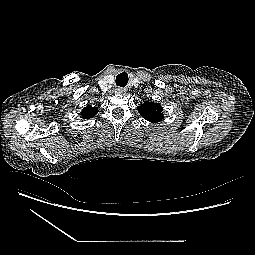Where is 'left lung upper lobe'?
<instances>
[{
    "label": "left lung upper lobe",
    "instance_id": "1",
    "mask_svg": "<svg viewBox=\"0 0 255 255\" xmlns=\"http://www.w3.org/2000/svg\"><path fill=\"white\" fill-rule=\"evenodd\" d=\"M137 110L147 121L157 123L163 119V108L159 103L146 101Z\"/></svg>",
    "mask_w": 255,
    "mask_h": 255
}]
</instances>
